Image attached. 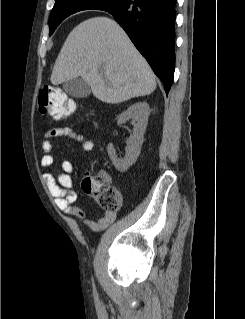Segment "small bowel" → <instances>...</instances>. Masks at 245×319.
Returning <instances> with one entry per match:
<instances>
[{"label":"small bowel","instance_id":"obj_1","mask_svg":"<svg viewBox=\"0 0 245 319\" xmlns=\"http://www.w3.org/2000/svg\"><path fill=\"white\" fill-rule=\"evenodd\" d=\"M57 137L72 139L80 145L82 151L85 153H90L94 149L92 139L73 131L70 127L52 128L44 134L41 145L42 157L40 162L44 168H50L54 164L52 140ZM74 169L73 163L66 159L61 162L60 168L55 169L54 172L44 173L42 177L60 210L80 218L93 231L102 230L115 220L116 214L104 212L97 220H93L88 216L87 212L76 203L77 194L73 188L71 177ZM107 179L110 182L108 175Z\"/></svg>","mask_w":245,"mask_h":319}]
</instances>
